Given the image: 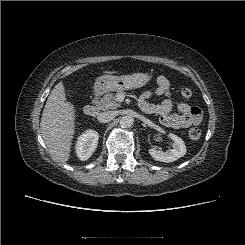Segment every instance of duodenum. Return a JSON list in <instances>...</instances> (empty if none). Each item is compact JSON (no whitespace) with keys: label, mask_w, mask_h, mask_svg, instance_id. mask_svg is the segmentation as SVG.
I'll return each instance as SVG.
<instances>
[{"label":"duodenum","mask_w":245,"mask_h":245,"mask_svg":"<svg viewBox=\"0 0 245 245\" xmlns=\"http://www.w3.org/2000/svg\"><path fill=\"white\" fill-rule=\"evenodd\" d=\"M98 100H99V93H95L93 95L92 103L89 105H86L83 108V113L85 116L93 117L98 113Z\"/></svg>","instance_id":"410a0bca"}]
</instances>
